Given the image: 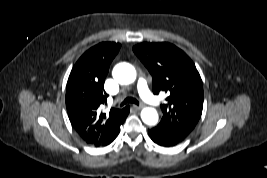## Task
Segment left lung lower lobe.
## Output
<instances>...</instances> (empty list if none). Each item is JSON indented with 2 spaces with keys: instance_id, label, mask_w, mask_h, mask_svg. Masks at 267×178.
Masks as SVG:
<instances>
[{
  "instance_id": "1",
  "label": "left lung lower lobe",
  "mask_w": 267,
  "mask_h": 178,
  "mask_svg": "<svg viewBox=\"0 0 267 178\" xmlns=\"http://www.w3.org/2000/svg\"><path fill=\"white\" fill-rule=\"evenodd\" d=\"M148 132L152 141L160 146L171 147L183 141V139L169 132L164 126L157 125L156 127L148 130Z\"/></svg>"
}]
</instances>
